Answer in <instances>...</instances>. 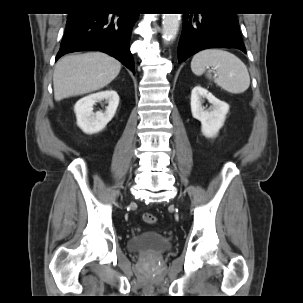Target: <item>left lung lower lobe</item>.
<instances>
[{
    "mask_svg": "<svg viewBox=\"0 0 303 303\" xmlns=\"http://www.w3.org/2000/svg\"><path fill=\"white\" fill-rule=\"evenodd\" d=\"M208 48H235L246 53L235 13L185 14L178 45V61L183 62Z\"/></svg>",
    "mask_w": 303,
    "mask_h": 303,
    "instance_id": "0a47b994",
    "label": "left lung lower lobe"
}]
</instances>
